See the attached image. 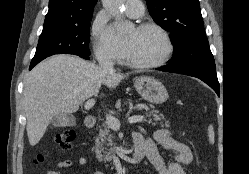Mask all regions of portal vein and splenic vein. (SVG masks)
I'll list each match as a JSON object with an SVG mask.
<instances>
[{
    "label": "portal vein and splenic vein",
    "mask_w": 249,
    "mask_h": 174,
    "mask_svg": "<svg viewBox=\"0 0 249 174\" xmlns=\"http://www.w3.org/2000/svg\"><path fill=\"white\" fill-rule=\"evenodd\" d=\"M94 104H95V100L89 99L85 102L84 107H85V109L89 110L94 106ZM143 120H144V116H142V115H134V116H131L128 118V121L130 123H138V122H141ZM106 122H107L108 127L111 128L112 130H115V131L119 130L120 122L116 117H114L110 114H106Z\"/></svg>",
    "instance_id": "obj_1"
}]
</instances>
